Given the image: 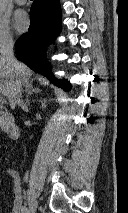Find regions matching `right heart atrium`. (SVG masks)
Returning a JSON list of instances; mask_svg holds the SVG:
<instances>
[{
  "mask_svg": "<svg viewBox=\"0 0 128 213\" xmlns=\"http://www.w3.org/2000/svg\"><path fill=\"white\" fill-rule=\"evenodd\" d=\"M13 43V33L7 17L0 15V49Z\"/></svg>",
  "mask_w": 128,
  "mask_h": 213,
  "instance_id": "1",
  "label": "right heart atrium"
}]
</instances>
